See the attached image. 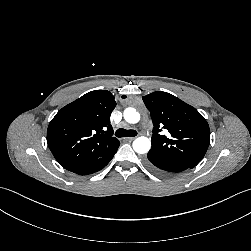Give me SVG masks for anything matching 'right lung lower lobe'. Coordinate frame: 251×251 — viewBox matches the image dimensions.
Wrapping results in <instances>:
<instances>
[{"mask_svg":"<svg viewBox=\"0 0 251 251\" xmlns=\"http://www.w3.org/2000/svg\"><path fill=\"white\" fill-rule=\"evenodd\" d=\"M118 147L107 158H105L101 163H99L95 166H92V167H87V168L81 169V170L76 171L74 173L79 174V175H88V174H92V173H95V172L103 169L109 163V161L113 158Z\"/></svg>","mask_w":251,"mask_h":251,"instance_id":"98d812e1","label":"right lung lower lobe"}]
</instances>
